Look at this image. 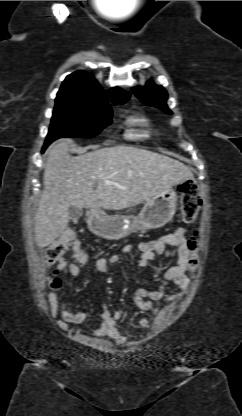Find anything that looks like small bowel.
<instances>
[{
    "instance_id": "c3829d8e",
    "label": "small bowel",
    "mask_w": 242,
    "mask_h": 416,
    "mask_svg": "<svg viewBox=\"0 0 242 416\" xmlns=\"http://www.w3.org/2000/svg\"><path fill=\"white\" fill-rule=\"evenodd\" d=\"M187 231V228L179 227L159 238L140 242L136 245L127 244L123 246L122 254L125 257H129L133 251L138 252V256L134 258V262L140 267L148 266L158 254L164 251L166 246H172L176 249L175 264L164 272L159 287L156 290L139 288L134 292L133 299L140 310L151 311L153 315H156L158 313V308L153 305V302L163 299L172 301L181 296L188 288L189 279L185 275L188 261ZM119 259V254H113L107 258L97 257L92 263L96 270L101 273H107L110 267L119 261ZM57 271L67 272L71 276H77L80 270L75 263L63 260L58 263ZM167 283L175 284L179 291L177 293L166 294ZM49 304L52 316L60 317L58 325L64 331H69L70 324L80 325L88 317L87 311L77 313L70 312L66 300H62L61 302L58 301L57 290L50 294ZM100 316L102 323L95 331V336H109L116 344L120 346L125 345L127 343V338L117 328V321L123 317V312L117 310L112 313L108 307L102 303L100 306ZM138 325L140 328H146L149 325V320L147 318H142L139 320Z\"/></svg>"
}]
</instances>
